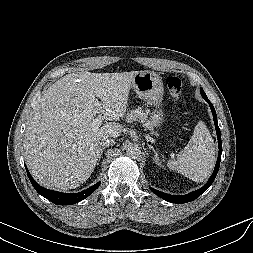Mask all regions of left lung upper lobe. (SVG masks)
I'll return each mask as SVG.
<instances>
[{
    "instance_id": "left-lung-upper-lobe-1",
    "label": "left lung upper lobe",
    "mask_w": 253,
    "mask_h": 253,
    "mask_svg": "<svg viewBox=\"0 0 253 253\" xmlns=\"http://www.w3.org/2000/svg\"><path fill=\"white\" fill-rule=\"evenodd\" d=\"M201 95H202V97L204 98V99H206L207 98V96H206V94H205V92L203 91V89L201 88Z\"/></svg>"
}]
</instances>
